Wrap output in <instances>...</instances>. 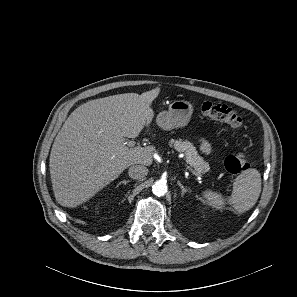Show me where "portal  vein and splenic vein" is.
Segmentation results:
<instances>
[{
	"label": "portal vein and splenic vein",
	"mask_w": 297,
	"mask_h": 297,
	"mask_svg": "<svg viewBox=\"0 0 297 297\" xmlns=\"http://www.w3.org/2000/svg\"><path fill=\"white\" fill-rule=\"evenodd\" d=\"M125 144H127L128 147H133L135 145L134 141H129L128 143L126 142ZM185 167L187 170H189L192 174L196 175V176H201L200 173L195 172L194 170H192L188 165L185 164Z\"/></svg>",
	"instance_id": "1"
}]
</instances>
